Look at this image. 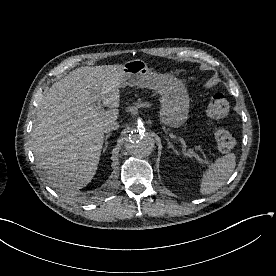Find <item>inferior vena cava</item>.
Wrapping results in <instances>:
<instances>
[{
    "label": "inferior vena cava",
    "instance_id": "602c4592",
    "mask_svg": "<svg viewBox=\"0 0 276 276\" xmlns=\"http://www.w3.org/2000/svg\"><path fill=\"white\" fill-rule=\"evenodd\" d=\"M118 128H119L118 122L115 121V120H111V121H108V122H106V123L104 124V126H103V131H104L105 133H109V132H111V131H113V130H117Z\"/></svg>",
    "mask_w": 276,
    "mask_h": 276
}]
</instances>
